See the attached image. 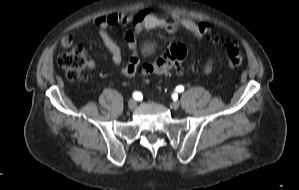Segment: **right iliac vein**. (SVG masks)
<instances>
[{"mask_svg": "<svg viewBox=\"0 0 299 190\" xmlns=\"http://www.w3.org/2000/svg\"><path fill=\"white\" fill-rule=\"evenodd\" d=\"M135 107H136V101L134 99H130L128 102V108L130 110H133V109H135Z\"/></svg>", "mask_w": 299, "mask_h": 190, "instance_id": "right-iliac-vein-1", "label": "right iliac vein"}]
</instances>
